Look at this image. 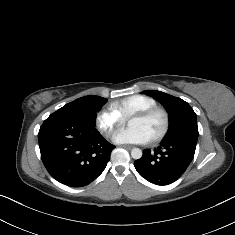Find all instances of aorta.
<instances>
[{"label": "aorta", "instance_id": "762f6f07", "mask_svg": "<svg viewBox=\"0 0 235 235\" xmlns=\"http://www.w3.org/2000/svg\"><path fill=\"white\" fill-rule=\"evenodd\" d=\"M143 153H142V150L139 149V148H134L132 149L131 151V156L133 159H140L142 157Z\"/></svg>", "mask_w": 235, "mask_h": 235}]
</instances>
